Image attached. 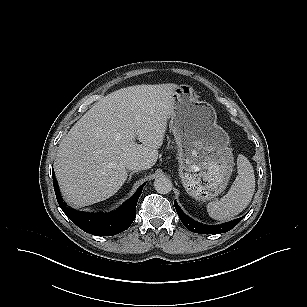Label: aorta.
<instances>
[{"instance_id":"obj_1","label":"aorta","mask_w":307,"mask_h":307,"mask_svg":"<svg viewBox=\"0 0 307 307\" xmlns=\"http://www.w3.org/2000/svg\"><path fill=\"white\" fill-rule=\"evenodd\" d=\"M154 188L160 194H167L172 190L171 180L164 175L159 176L154 181Z\"/></svg>"}]
</instances>
